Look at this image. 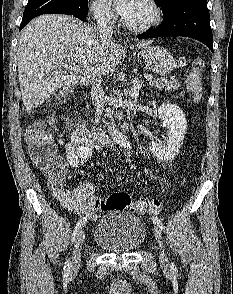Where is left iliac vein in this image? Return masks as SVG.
I'll return each mask as SVG.
<instances>
[{
    "mask_svg": "<svg viewBox=\"0 0 233 294\" xmlns=\"http://www.w3.org/2000/svg\"><path fill=\"white\" fill-rule=\"evenodd\" d=\"M153 233L155 236L156 241L158 242L160 246V263L162 266L167 267L168 266V259L166 256V253L164 251V245H163V236L160 228L158 226H154Z\"/></svg>",
    "mask_w": 233,
    "mask_h": 294,
    "instance_id": "obj_1",
    "label": "left iliac vein"
}]
</instances>
